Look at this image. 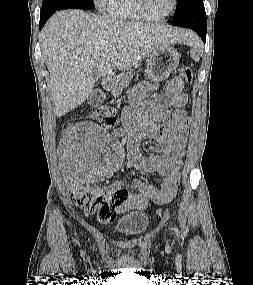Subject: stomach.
I'll list each match as a JSON object with an SVG mask.
<instances>
[{
  "mask_svg": "<svg viewBox=\"0 0 253 285\" xmlns=\"http://www.w3.org/2000/svg\"><path fill=\"white\" fill-rule=\"evenodd\" d=\"M180 54L170 45H162L149 55L146 76L154 81L167 78L178 66Z\"/></svg>",
  "mask_w": 253,
  "mask_h": 285,
  "instance_id": "0dacf381",
  "label": "stomach"
}]
</instances>
